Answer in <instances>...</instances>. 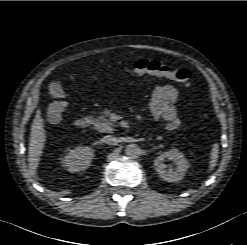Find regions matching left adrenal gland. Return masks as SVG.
Instances as JSON below:
<instances>
[{"instance_id": "obj_1", "label": "left adrenal gland", "mask_w": 247, "mask_h": 245, "mask_svg": "<svg viewBox=\"0 0 247 245\" xmlns=\"http://www.w3.org/2000/svg\"><path fill=\"white\" fill-rule=\"evenodd\" d=\"M152 139V137H150L148 140H151Z\"/></svg>"}]
</instances>
